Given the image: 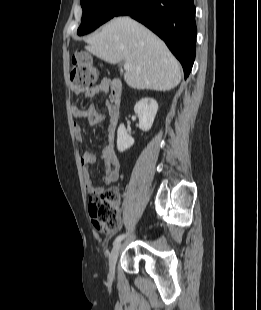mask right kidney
<instances>
[{"label":"right kidney","instance_id":"ca27d5eb","mask_svg":"<svg viewBox=\"0 0 261 310\" xmlns=\"http://www.w3.org/2000/svg\"><path fill=\"white\" fill-rule=\"evenodd\" d=\"M158 103L152 98H144L138 101L134 107L135 113L139 118V128L142 131H149L153 125ZM134 144V139L127 134L124 124H121L117 130V149L123 152Z\"/></svg>","mask_w":261,"mask_h":310}]
</instances>
